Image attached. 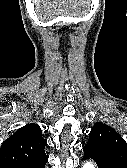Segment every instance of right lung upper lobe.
<instances>
[{
	"label": "right lung upper lobe",
	"mask_w": 127,
	"mask_h": 168,
	"mask_svg": "<svg viewBox=\"0 0 127 168\" xmlns=\"http://www.w3.org/2000/svg\"><path fill=\"white\" fill-rule=\"evenodd\" d=\"M38 125L28 124L6 139L0 148V164L8 162H41L47 158Z\"/></svg>",
	"instance_id": "1"
}]
</instances>
